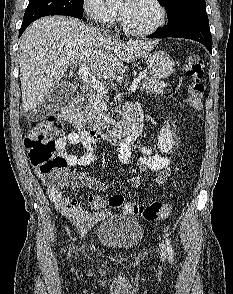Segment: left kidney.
Returning <instances> with one entry per match:
<instances>
[{
  "label": "left kidney",
  "instance_id": "1",
  "mask_svg": "<svg viewBox=\"0 0 233 294\" xmlns=\"http://www.w3.org/2000/svg\"><path fill=\"white\" fill-rule=\"evenodd\" d=\"M174 133L170 129V125H166L161 129L160 136L158 138V148L163 153H171L175 144Z\"/></svg>",
  "mask_w": 233,
  "mask_h": 294
}]
</instances>
